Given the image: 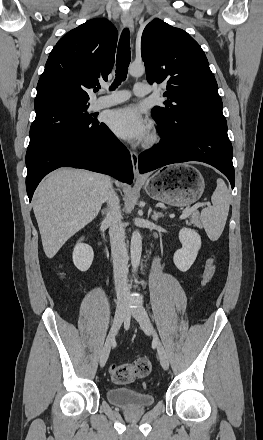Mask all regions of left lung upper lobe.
<instances>
[{"mask_svg":"<svg viewBox=\"0 0 263 440\" xmlns=\"http://www.w3.org/2000/svg\"><path fill=\"white\" fill-rule=\"evenodd\" d=\"M141 55L148 82H167L164 96L170 100L152 109L156 120L184 129L203 120L225 118L206 55L187 32L154 19L142 33Z\"/></svg>","mask_w":263,"mask_h":440,"instance_id":"left-lung-upper-lobe-1","label":"left lung upper lobe"}]
</instances>
